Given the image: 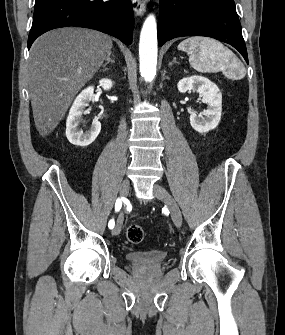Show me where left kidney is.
I'll return each instance as SVG.
<instances>
[{"mask_svg": "<svg viewBox=\"0 0 285 335\" xmlns=\"http://www.w3.org/2000/svg\"><path fill=\"white\" fill-rule=\"evenodd\" d=\"M177 88L181 94H185L188 90H195L199 96H202L201 102L207 104V110H204L203 114L191 112L189 120L193 130L205 134L217 128L222 112V94L216 84L203 76H191V78L179 80Z\"/></svg>", "mask_w": 285, "mask_h": 335, "instance_id": "5707ae66", "label": "left kidney"}]
</instances>
